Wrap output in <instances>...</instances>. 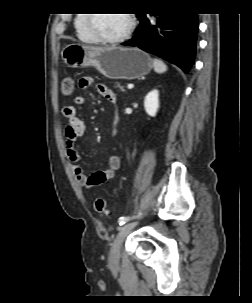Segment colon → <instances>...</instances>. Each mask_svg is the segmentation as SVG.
<instances>
[{
  "label": "colon",
  "instance_id": "colon-1",
  "mask_svg": "<svg viewBox=\"0 0 252 303\" xmlns=\"http://www.w3.org/2000/svg\"><path fill=\"white\" fill-rule=\"evenodd\" d=\"M74 86L75 83L72 77L70 76L64 77L61 81V93L66 97L71 96L74 92ZM94 210L102 217H106L110 213V209L106 200L101 197L95 198Z\"/></svg>",
  "mask_w": 252,
  "mask_h": 303
}]
</instances>
